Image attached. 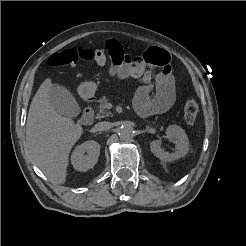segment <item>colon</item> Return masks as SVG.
<instances>
[{"label": "colon", "mask_w": 246, "mask_h": 246, "mask_svg": "<svg viewBox=\"0 0 246 246\" xmlns=\"http://www.w3.org/2000/svg\"><path fill=\"white\" fill-rule=\"evenodd\" d=\"M121 51L118 48L92 49V48H71L52 54L47 63L50 66L73 65L78 61H92L104 65L113 58L120 59ZM198 104L193 98L187 99L183 107V116L188 124H193L198 114Z\"/></svg>", "instance_id": "obj_1"}]
</instances>
